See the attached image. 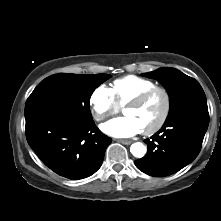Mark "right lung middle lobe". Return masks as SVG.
<instances>
[{
    "mask_svg": "<svg viewBox=\"0 0 221 221\" xmlns=\"http://www.w3.org/2000/svg\"><path fill=\"white\" fill-rule=\"evenodd\" d=\"M111 76L106 74L59 73L45 78L25 105V118L44 109H53L82 123L93 121L89 103L93 91Z\"/></svg>",
    "mask_w": 221,
    "mask_h": 221,
    "instance_id": "1",
    "label": "right lung middle lobe"
}]
</instances>
